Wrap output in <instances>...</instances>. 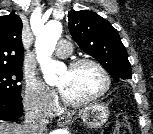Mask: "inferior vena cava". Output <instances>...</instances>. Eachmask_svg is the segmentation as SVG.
<instances>
[{"mask_svg":"<svg viewBox=\"0 0 153 134\" xmlns=\"http://www.w3.org/2000/svg\"><path fill=\"white\" fill-rule=\"evenodd\" d=\"M25 111V134H43L47 126L45 116L29 105H26Z\"/></svg>","mask_w":153,"mask_h":134,"instance_id":"1","label":"inferior vena cava"}]
</instances>
